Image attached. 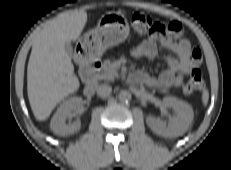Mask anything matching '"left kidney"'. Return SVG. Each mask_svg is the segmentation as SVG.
<instances>
[{"label": "left kidney", "mask_w": 231, "mask_h": 170, "mask_svg": "<svg viewBox=\"0 0 231 170\" xmlns=\"http://www.w3.org/2000/svg\"><path fill=\"white\" fill-rule=\"evenodd\" d=\"M163 105L175 111V115L170 121L166 123L156 117L148 116L146 123L154 133L164 137L183 135L193 121L194 113L192 107L175 97H164Z\"/></svg>", "instance_id": "obj_1"}]
</instances>
